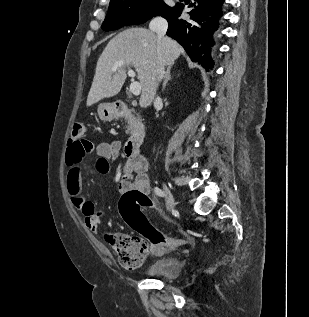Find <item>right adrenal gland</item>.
I'll use <instances>...</instances> for the list:
<instances>
[{
	"label": "right adrenal gland",
	"mask_w": 309,
	"mask_h": 317,
	"mask_svg": "<svg viewBox=\"0 0 309 317\" xmlns=\"http://www.w3.org/2000/svg\"><path fill=\"white\" fill-rule=\"evenodd\" d=\"M170 71H171V67H168L167 71L165 73L164 82H163V86H162V91L165 89L166 84L168 83V81L171 80Z\"/></svg>",
	"instance_id": "1"
}]
</instances>
